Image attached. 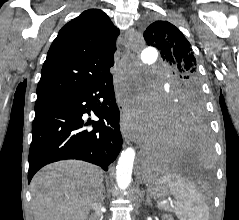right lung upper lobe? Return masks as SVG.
<instances>
[{
    "label": "right lung upper lobe",
    "mask_w": 239,
    "mask_h": 220,
    "mask_svg": "<svg viewBox=\"0 0 239 220\" xmlns=\"http://www.w3.org/2000/svg\"><path fill=\"white\" fill-rule=\"evenodd\" d=\"M118 35L99 9L84 11L64 25L47 53L35 103L83 91L110 73Z\"/></svg>",
    "instance_id": "cb5924a9"
}]
</instances>
